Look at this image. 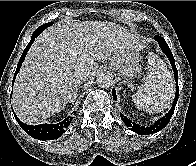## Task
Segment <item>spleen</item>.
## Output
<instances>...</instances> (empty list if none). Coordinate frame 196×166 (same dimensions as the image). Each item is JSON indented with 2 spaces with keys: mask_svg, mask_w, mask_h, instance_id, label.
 I'll return each instance as SVG.
<instances>
[{
  "mask_svg": "<svg viewBox=\"0 0 196 166\" xmlns=\"http://www.w3.org/2000/svg\"><path fill=\"white\" fill-rule=\"evenodd\" d=\"M174 93V80L166 64L158 55L149 53L148 74L145 82L133 95V102L140 110L161 112L170 106Z\"/></svg>",
  "mask_w": 196,
  "mask_h": 166,
  "instance_id": "obj_1",
  "label": "spleen"
}]
</instances>
